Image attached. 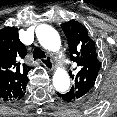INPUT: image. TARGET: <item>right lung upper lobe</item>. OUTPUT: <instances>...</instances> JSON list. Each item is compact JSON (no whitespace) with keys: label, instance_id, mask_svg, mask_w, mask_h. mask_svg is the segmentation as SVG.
Returning <instances> with one entry per match:
<instances>
[{"label":"right lung upper lobe","instance_id":"cb5924a9","mask_svg":"<svg viewBox=\"0 0 117 117\" xmlns=\"http://www.w3.org/2000/svg\"><path fill=\"white\" fill-rule=\"evenodd\" d=\"M26 54L17 28L0 30V99L13 101L24 90L28 82L27 73L32 68L20 63Z\"/></svg>","mask_w":117,"mask_h":117}]
</instances>
